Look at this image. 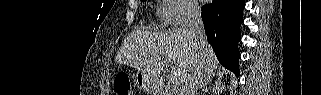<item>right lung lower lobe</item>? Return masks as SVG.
<instances>
[{"instance_id": "1", "label": "right lung lower lobe", "mask_w": 321, "mask_h": 95, "mask_svg": "<svg viewBox=\"0 0 321 95\" xmlns=\"http://www.w3.org/2000/svg\"><path fill=\"white\" fill-rule=\"evenodd\" d=\"M244 7L243 0H213L203 6L201 13L207 39L219 62L237 76L240 74L238 42Z\"/></svg>"}]
</instances>
